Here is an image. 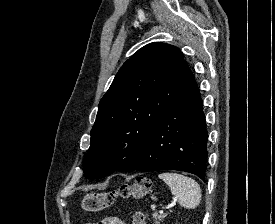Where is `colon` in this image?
I'll use <instances>...</instances> for the list:
<instances>
[{
  "mask_svg": "<svg viewBox=\"0 0 275 224\" xmlns=\"http://www.w3.org/2000/svg\"><path fill=\"white\" fill-rule=\"evenodd\" d=\"M151 190V180L145 176L137 177L133 182L124 184L116 192H92L83 199V208L89 212H98L110 207L117 196L141 199ZM133 224H145V215L138 212L133 217Z\"/></svg>",
  "mask_w": 275,
  "mask_h": 224,
  "instance_id": "obj_1",
  "label": "colon"
}]
</instances>
